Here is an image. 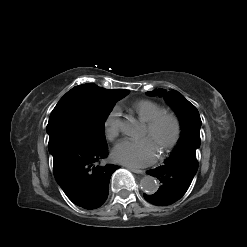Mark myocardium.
Masks as SVG:
<instances>
[{
    "label": "myocardium",
    "instance_id": "1",
    "mask_svg": "<svg viewBox=\"0 0 247 247\" xmlns=\"http://www.w3.org/2000/svg\"><path fill=\"white\" fill-rule=\"evenodd\" d=\"M166 122L171 123L172 134L170 138L160 147L159 150L161 155L170 152L178 143L182 132L181 121L175 113L163 111L150 121L146 122V128L151 135L154 134Z\"/></svg>",
    "mask_w": 247,
    "mask_h": 247
}]
</instances>
